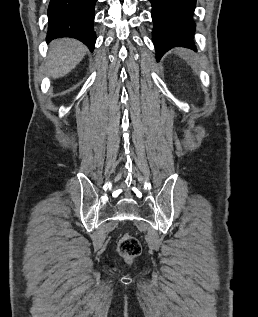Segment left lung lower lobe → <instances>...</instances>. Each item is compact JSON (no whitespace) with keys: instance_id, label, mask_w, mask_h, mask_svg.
I'll list each match as a JSON object with an SVG mask.
<instances>
[{"instance_id":"left-lung-lower-lobe-1","label":"left lung lower lobe","mask_w":258,"mask_h":317,"mask_svg":"<svg viewBox=\"0 0 258 317\" xmlns=\"http://www.w3.org/2000/svg\"><path fill=\"white\" fill-rule=\"evenodd\" d=\"M154 23L153 42L157 61L174 47L196 50L193 14L196 0H149Z\"/></svg>"}]
</instances>
